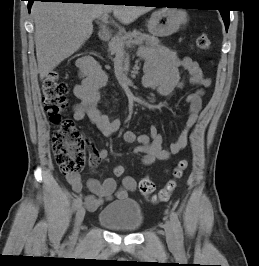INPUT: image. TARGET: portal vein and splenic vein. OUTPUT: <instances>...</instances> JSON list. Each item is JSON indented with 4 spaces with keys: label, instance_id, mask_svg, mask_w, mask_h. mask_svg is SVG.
I'll list each match as a JSON object with an SVG mask.
<instances>
[{
    "label": "portal vein and splenic vein",
    "instance_id": "18ae733b",
    "mask_svg": "<svg viewBox=\"0 0 259 266\" xmlns=\"http://www.w3.org/2000/svg\"><path fill=\"white\" fill-rule=\"evenodd\" d=\"M100 20H101V23L103 26H105L107 23H108V14H103L101 17H100Z\"/></svg>",
    "mask_w": 259,
    "mask_h": 266
}]
</instances>
